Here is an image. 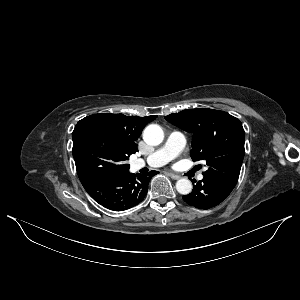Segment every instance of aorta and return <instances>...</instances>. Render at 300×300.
<instances>
[{
	"mask_svg": "<svg viewBox=\"0 0 300 300\" xmlns=\"http://www.w3.org/2000/svg\"><path fill=\"white\" fill-rule=\"evenodd\" d=\"M143 136L149 145L157 146L162 143L164 132L159 125L151 124L145 128ZM176 189L180 194L187 195L192 191V183L186 178L179 179L176 182Z\"/></svg>",
	"mask_w": 300,
	"mask_h": 300,
	"instance_id": "1",
	"label": "aorta"
}]
</instances>
